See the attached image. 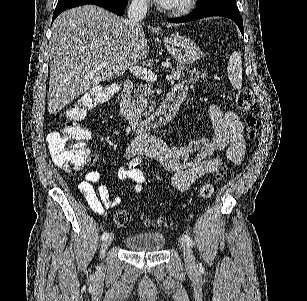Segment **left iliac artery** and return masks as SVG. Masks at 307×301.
Instances as JSON below:
<instances>
[{"label": "left iliac artery", "instance_id": "44dca946", "mask_svg": "<svg viewBox=\"0 0 307 301\" xmlns=\"http://www.w3.org/2000/svg\"><path fill=\"white\" fill-rule=\"evenodd\" d=\"M184 239H185V241L192 247L193 245H194V243H193V240H192V238L189 236V235H187V234H184ZM198 266V268L201 270H203V267H202V264L201 263H199V265H197Z\"/></svg>", "mask_w": 307, "mask_h": 301}]
</instances>
